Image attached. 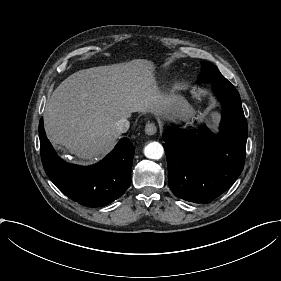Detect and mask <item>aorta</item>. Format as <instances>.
Listing matches in <instances>:
<instances>
[{"mask_svg":"<svg viewBox=\"0 0 281 281\" xmlns=\"http://www.w3.org/2000/svg\"><path fill=\"white\" fill-rule=\"evenodd\" d=\"M144 154L149 159L158 160L163 156L164 149L159 142H151L145 146Z\"/></svg>","mask_w":281,"mask_h":281,"instance_id":"1","label":"aorta"}]
</instances>
